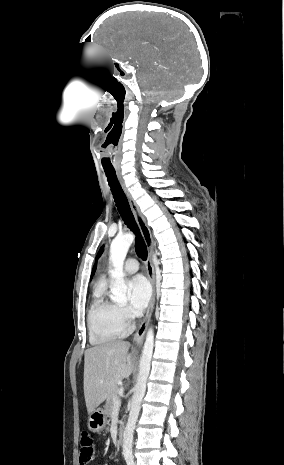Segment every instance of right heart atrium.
<instances>
[{
  "mask_svg": "<svg viewBox=\"0 0 284 465\" xmlns=\"http://www.w3.org/2000/svg\"><path fill=\"white\" fill-rule=\"evenodd\" d=\"M117 310H118L119 316L126 324L131 322L132 317L127 309L121 306H117Z\"/></svg>",
  "mask_w": 284,
  "mask_h": 465,
  "instance_id": "d8ad5b80",
  "label": "right heart atrium"
}]
</instances>
